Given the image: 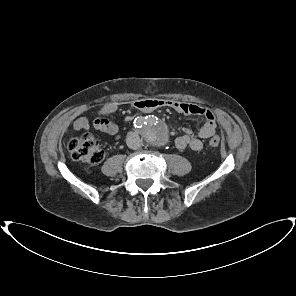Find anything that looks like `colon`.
<instances>
[{"instance_id":"obj_1","label":"colon","mask_w":296,"mask_h":296,"mask_svg":"<svg viewBox=\"0 0 296 296\" xmlns=\"http://www.w3.org/2000/svg\"><path fill=\"white\" fill-rule=\"evenodd\" d=\"M209 145L212 148L219 147L220 139L212 137L209 140ZM68 150L74 160L83 163L97 164L104 158V152L100 147L98 139L88 132L73 137L68 143Z\"/></svg>"}]
</instances>
